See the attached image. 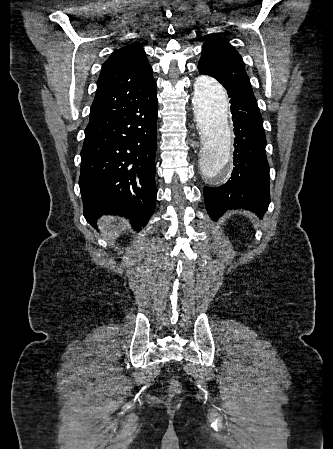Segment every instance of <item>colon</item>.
Segmentation results:
<instances>
[{
	"instance_id": "1",
	"label": "colon",
	"mask_w": 333,
	"mask_h": 449,
	"mask_svg": "<svg viewBox=\"0 0 333 449\" xmlns=\"http://www.w3.org/2000/svg\"><path fill=\"white\" fill-rule=\"evenodd\" d=\"M179 391H180V384H179V382L176 381V380H173L171 382V384H170V393L172 395H175V394L179 393Z\"/></svg>"
}]
</instances>
